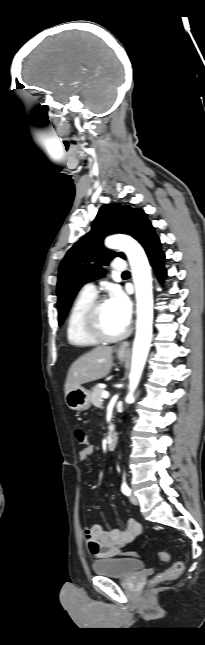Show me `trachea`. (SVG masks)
Segmentation results:
<instances>
[{
	"label": "trachea",
	"instance_id": "obj_1",
	"mask_svg": "<svg viewBox=\"0 0 205 645\" xmlns=\"http://www.w3.org/2000/svg\"><path fill=\"white\" fill-rule=\"evenodd\" d=\"M128 274H129V272H128V271H125V272H123V274H122V275H128Z\"/></svg>",
	"mask_w": 205,
	"mask_h": 645
}]
</instances>
